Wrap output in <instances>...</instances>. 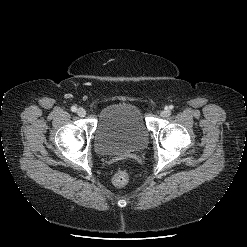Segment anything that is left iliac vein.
I'll return each mask as SVG.
<instances>
[{
    "mask_svg": "<svg viewBox=\"0 0 247 247\" xmlns=\"http://www.w3.org/2000/svg\"><path fill=\"white\" fill-rule=\"evenodd\" d=\"M171 114V110L168 108H165L164 110L161 111L160 115L162 117H168Z\"/></svg>",
    "mask_w": 247,
    "mask_h": 247,
    "instance_id": "left-iliac-vein-1",
    "label": "left iliac vein"
}]
</instances>
